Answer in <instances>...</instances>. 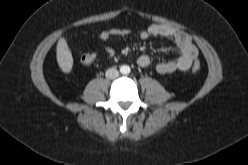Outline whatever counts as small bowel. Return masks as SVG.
<instances>
[{
	"label": "small bowel",
	"mask_w": 248,
	"mask_h": 165,
	"mask_svg": "<svg viewBox=\"0 0 248 165\" xmlns=\"http://www.w3.org/2000/svg\"><path fill=\"white\" fill-rule=\"evenodd\" d=\"M130 33L131 30L127 28H110L102 31L98 35V38L102 41H106L113 37H126ZM138 37L141 40H147L150 37H160L172 41L178 48L179 56L172 60L154 61L146 54L138 57L137 64L140 67H153L159 74L186 71L190 69L198 57V49L192 42L191 37L187 33L171 26L162 24L152 25L141 31ZM102 52L107 59H111L115 54L114 49L110 46H104Z\"/></svg>",
	"instance_id": "small-bowel-1"
}]
</instances>
